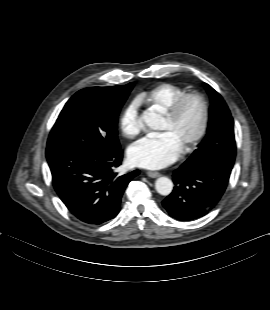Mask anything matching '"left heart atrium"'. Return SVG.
<instances>
[{"mask_svg": "<svg viewBox=\"0 0 270 310\" xmlns=\"http://www.w3.org/2000/svg\"><path fill=\"white\" fill-rule=\"evenodd\" d=\"M181 146L167 132L150 135L134 143L128 151L129 162L144 169H160L178 159Z\"/></svg>", "mask_w": 270, "mask_h": 310, "instance_id": "39dd6f15", "label": "left heart atrium"}]
</instances>
